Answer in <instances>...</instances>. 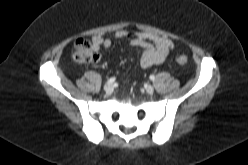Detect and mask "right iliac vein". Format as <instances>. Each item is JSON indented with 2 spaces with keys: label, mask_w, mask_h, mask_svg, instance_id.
<instances>
[{
  "label": "right iliac vein",
  "mask_w": 248,
  "mask_h": 165,
  "mask_svg": "<svg viewBox=\"0 0 248 165\" xmlns=\"http://www.w3.org/2000/svg\"><path fill=\"white\" fill-rule=\"evenodd\" d=\"M104 91H105L107 94H111L112 91H113V84H112V83H107V84L104 86Z\"/></svg>",
  "instance_id": "1"
}]
</instances>
